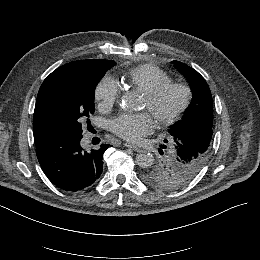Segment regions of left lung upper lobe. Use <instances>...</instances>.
<instances>
[{
  "instance_id": "obj_1",
  "label": "left lung upper lobe",
  "mask_w": 260,
  "mask_h": 260,
  "mask_svg": "<svg viewBox=\"0 0 260 260\" xmlns=\"http://www.w3.org/2000/svg\"><path fill=\"white\" fill-rule=\"evenodd\" d=\"M174 64L188 80L193 98L182 120L170 126L171 151L141 173L145 183L165 191L183 187L199 173L209 157L212 140L213 104L208 84L186 64Z\"/></svg>"
}]
</instances>
